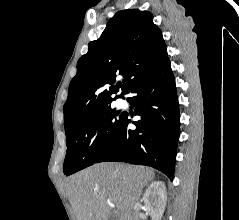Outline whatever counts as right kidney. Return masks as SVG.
<instances>
[{
    "mask_svg": "<svg viewBox=\"0 0 239 220\" xmlns=\"http://www.w3.org/2000/svg\"><path fill=\"white\" fill-rule=\"evenodd\" d=\"M143 201L152 220H161L167 202L165 183L153 182L144 193Z\"/></svg>",
    "mask_w": 239,
    "mask_h": 220,
    "instance_id": "obj_1",
    "label": "right kidney"
}]
</instances>
